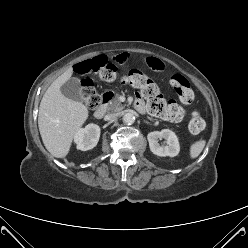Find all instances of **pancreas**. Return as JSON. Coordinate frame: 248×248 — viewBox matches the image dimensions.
I'll return each instance as SVG.
<instances>
[{"label":"pancreas","instance_id":"pancreas-1","mask_svg":"<svg viewBox=\"0 0 248 248\" xmlns=\"http://www.w3.org/2000/svg\"><path fill=\"white\" fill-rule=\"evenodd\" d=\"M119 96L116 95L108 104L107 109L111 112H120L122 109H124V105L121 104L119 101Z\"/></svg>","mask_w":248,"mask_h":248}]
</instances>
